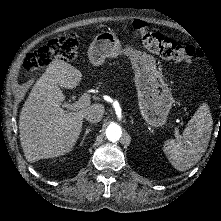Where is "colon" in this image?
<instances>
[{"label":"colon","mask_w":221,"mask_h":221,"mask_svg":"<svg viewBox=\"0 0 221 221\" xmlns=\"http://www.w3.org/2000/svg\"><path fill=\"white\" fill-rule=\"evenodd\" d=\"M142 46L162 59L191 64L197 56L192 46H183L157 32L150 31L146 24L135 21L132 24ZM79 38L74 33L62 34L48 44L29 53L23 60L27 74L46 67L55 61H68L76 57Z\"/></svg>","instance_id":"obj_1"}]
</instances>
